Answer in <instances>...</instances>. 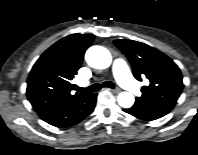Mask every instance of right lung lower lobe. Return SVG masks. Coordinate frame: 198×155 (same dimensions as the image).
Listing matches in <instances>:
<instances>
[{
  "label": "right lung lower lobe",
  "instance_id": "right-lung-lower-lobe-1",
  "mask_svg": "<svg viewBox=\"0 0 198 155\" xmlns=\"http://www.w3.org/2000/svg\"><path fill=\"white\" fill-rule=\"evenodd\" d=\"M97 94H83L75 100L38 113L40 118L56 127H68L90 115L96 104Z\"/></svg>",
  "mask_w": 198,
  "mask_h": 155
}]
</instances>
